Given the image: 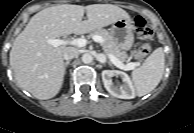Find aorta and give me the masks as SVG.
<instances>
[{"mask_svg":"<svg viewBox=\"0 0 194 133\" xmlns=\"http://www.w3.org/2000/svg\"><path fill=\"white\" fill-rule=\"evenodd\" d=\"M93 60L92 56L89 53H85L82 55V62L85 64L91 63Z\"/></svg>","mask_w":194,"mask_h":133,"instance_id":"762f6f07","label":"aorta"}]
</instances>
